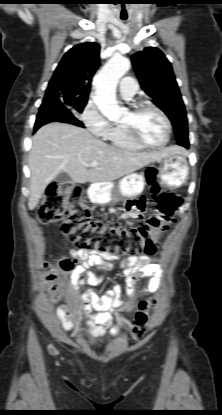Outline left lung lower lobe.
Here are the masks:
<instances>
[{
  "label": "left lung lower lobe",
  "instance_id": "obj_1",
  "mask_svg": "<svg viewBox=\"0 0 222 415\" xmlns=\"http://www.w3.org/2000/svg\"><path fill=\"white\" fill-rule=\"evenodd\" d=\"M177 144L184 146L185 148H189V141L188 140H177Z\"/></svg>",
  "mask_w": 222,
  "mask_h": 415
}]
</instances>
